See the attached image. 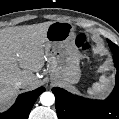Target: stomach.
Returning a JSON list of instances; mask_svg holds the SVG:
<instances>
[{"label": "stomach", "instance_id": "obj_1", "mask_svg": "<svg viewBox=\"0 0 119 119\" xmlns=\"http://www.w3.org/2000/svg\"><path fill=\"white\" fill-rule=\"evenodd\" d=\"M46 60L53 80L75 84L81 76V54L75 43L74 26L69 22L54 21L46 32Z\"/></svg>", "mask_w": 119, "mask_h": 119}]
</instances>
